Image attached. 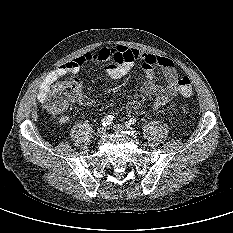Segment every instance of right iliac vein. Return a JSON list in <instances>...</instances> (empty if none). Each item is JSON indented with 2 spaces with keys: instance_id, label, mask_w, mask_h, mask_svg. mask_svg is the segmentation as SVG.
Listing matches in <instances>:
<instances>
[{
  "instance_id": "1",
  "label": "right iliac vein",
  "mask_w": 233,
  "mask_h": 233,
  "mask_svg": "<svg viewBox=\"0 0 233 233\" xmlns=\"http://www.w3.org/2000/svg\"><path fill=\"white\" fill-rule=\"evenodd\" d=\"M105 132H106V128H104V127H100V128H98V130H97V134H98V136H100V137H102V136L105 134Z\"/></svg>"
}]
</instances>
